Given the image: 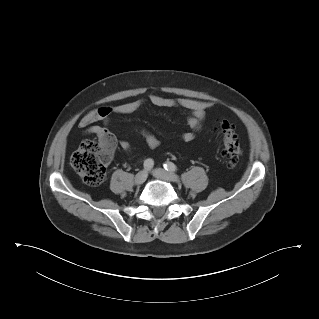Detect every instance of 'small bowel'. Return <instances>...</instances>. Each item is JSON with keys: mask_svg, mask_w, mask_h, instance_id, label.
I'll list each match as a JSON object with an SVG mask.
<instances>
[{"mask_svg": "<svg viewBox=\"0 0 319 319\" xmlns=\"http://www.w3.org/2000/svg\"><path fill=\"white\" fill-rule=\"evenodd\" d=\"M147 101L159 107H181L188 111L187 123L189 130L183 132L181 135L185 142H191L195 139L197 132L200 131L203 126L207 110L213 106V103L209 101L191 98L173 99L158 94L149 95ZM145 102L146 100L144 99H136L118 105L103 106L91 110L82 116L79 125L84 128L85 134L94 135L98 137V139H102L107 135H111L108 125L110 124L113 115L131 114L142 107ZM99 121L103 122L105 126L95 125V123ZM140 133L150 148L156 149L160 146V140L154 132L147 129H141ZM119 146L127 154L131 153V145L128 141L121 140Z\"/></svg>", "mask_w": 319, "mask_h": 319, "instance_id": "small-bowel-1", "label": "small bowel"}]
</instances>
